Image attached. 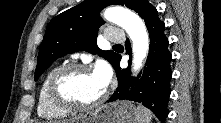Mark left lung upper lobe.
<instances>
[{
	"label": "left lung upper lobe",
	"mask_w": 221,
	"mask_h": 123,
	"mask_svg": "<svg viewBox=\"0 0 221 123\" xmlns=\"http://www.w3.org/2000/svg\"><path fill=\"white\" fill-rule=\"evenodd\" d=\"M147 3V0H85L54 17L47 26L40 46L35 79L56 59L80 50L98 54L113 64L119 54L103 51L97 46L98 28L104 24L99 12L106 6L117 4L139 14Z\"/></svg>",
	"instance_id": "5c2ea615"
}]
</instances>
